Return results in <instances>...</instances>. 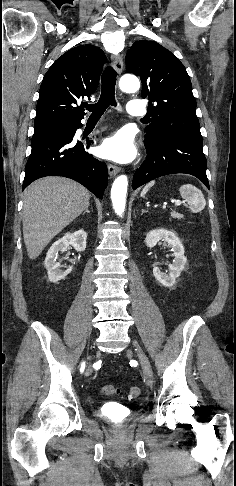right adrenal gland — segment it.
Masks as SVG:
<instances>
[{
  "instance_id": "1",
  "label": "right adrenal gland",
  "mask_w": 236,
  "mask_h": 486,
  "mask_svg": "<svg viewBox=\"0 0 236 486\" xmlns=\"http://www.w3.org/2000/svg\"><path fill=\"white\" fill-rule=\"evenodd\" d=\"M85 213H90V211H89L88 207L85 209V211L83 212V214H82V215H84Z\"/></svg>"
}]
</instances>
